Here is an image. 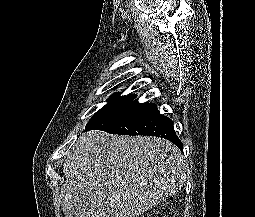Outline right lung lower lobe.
I'll return each instance as SVG.
<instances>
[{
	"label": "right lung lower lobe",
	"instance_id": "right-lung-lower-lobe-1",
	"mask_svg": "<svg viewBox=\"0 0 255 217\" xmlns=\"http://www.w3.org/2000/svg\"><path fill=\"white\" fill-rule=\"evenodd\" d=\"M93 129L111 134L161 137L174 143L181 151L183 150V144L175 133L172 120L161 115L157 106L152 103L131 101L88 124L85 130Z\"/></svg>",
	"mask_w": 255,
	"mask_h": 217
}]
</instances>
